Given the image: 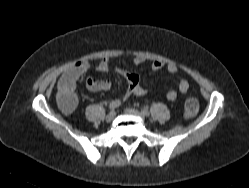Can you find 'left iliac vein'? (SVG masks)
I'll return each instance as SVG.
<instances>
[{
	"label": "left iliac vein",
	"instance_id": "4c4485c4",
	"mask_svg": "<svg viewBox=\"0 0 249 188\" xmlns=\"http://www.w3.org/2000/svg\"><path fill=\"white\" fill-rule=\"evenodd\" d=\"M125 112L130 113V114H134L142 119H145V115L143 113H141L140 111L133 109V108H126Z\"/></svg>",
	"mask_w": 249,
	"mask_h": 188
}]
</instances>
